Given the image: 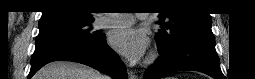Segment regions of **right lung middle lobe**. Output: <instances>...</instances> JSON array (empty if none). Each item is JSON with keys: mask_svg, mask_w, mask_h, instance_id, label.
Instances as JSON below:
<instances>
[{"mask_svg": "<svg viewBox=\"0 0 255 79\" xmlns=\"http://www.w3.org/2000/svg\"><path fill=\"white\" fill-rule=\"evenodd\" d=\"M92 21H85L73 16H61L39 20V34L36 42L62 38L74 41H92L98 37L96 33H91L90 24Z\"/></svg>", "mask_w": 255, "mask_h": 79, "instance_id": "1", "label": "right lung middle lobe"}]
</instances>
